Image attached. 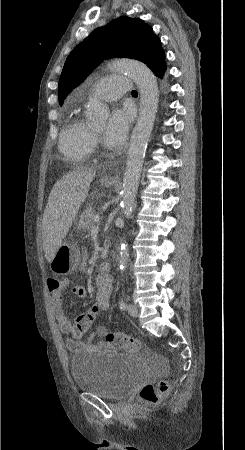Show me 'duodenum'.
I'll use <instances>...</instances> for the list:
<instances>
[{
  "label": "duodenum",
  "mask_w": 245,
  "mask_h": 450,
  "mask_svg": "<svg viewBox=\"0 0 245 450\" xmlns=\"http://www.w3.org/2000/svg\"><path fill=\"white\" fill-rule=\"evenodd\" d=\"M111 269H112V265L110 262L102 263L99 267V271L102 274H109L111 272Z\"/></svg>",
  "instance_id": "410a0bca"
}]
</instances>
